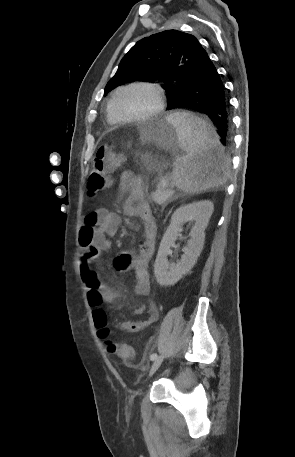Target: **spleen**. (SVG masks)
<instances>
[{
  "instance_id": "3e777b00",
  "label": "spleen",
  "mask_w": 295,
  "mask_h": 457,
  "mask_svg": "<svg viewBox=\"0 0 295 457\" xmlns=\"http://www.w3.org/2000/svg\"><path fill=\"white\" fill-rule=\"evenodd\" d=\"M167 119L176 127L180 148L186 153L173 171V183L190 194L223 184L228 164L215 129L203 119L186 111Z\"/></svg>"
}]
</instances>
